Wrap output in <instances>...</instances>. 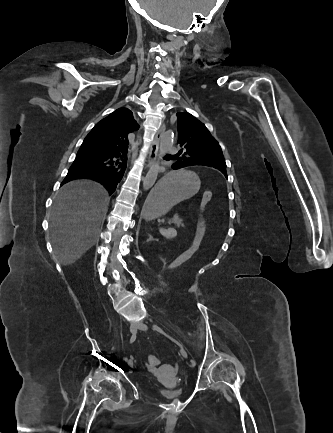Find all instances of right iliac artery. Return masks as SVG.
I'll use <instances>...</instances> for the list:
<instances>
[{"label":"right iliac artery","mask_w":333,"mask_h":433,"mask_svg":"<svg viewBox=\"0 0 333 433\" xmlns=\"http://www.w3.org/2000/svg\"><path fill=\"white\" fill-rule=\"evenodd\" d=\"M136 340V333H134L132 336H131V338H130V343H133L134 341ZM125 361H127L128 363H129V359L128 358H125Z\"/></svg>","instance_id":"right-iliac-artery-1"}]
</instances>
